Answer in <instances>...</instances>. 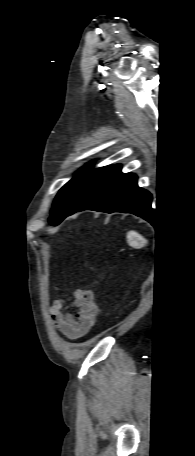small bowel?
I'll return each mask as SVG.
<instances>
[{
    "label": "small bowel",
    "mask_w": 195,
    "mask_h": 456,
    "mask_svg": "<svg viewBox=\"0 0 195 456\" xmlns=\"http://www.w3.org/2000/svg\"><path fill=\"white\" fill-rule=\"evenodd\" d=\"M67 303L77 308L74 314L65 311ZM49 315L54 327L68 339L85 335L93 326L98 308L90 290H76L68 298L55 300L49 306Z\"/></svg>",
    "instance_id": "c3829d8e"
}]
</instances>
